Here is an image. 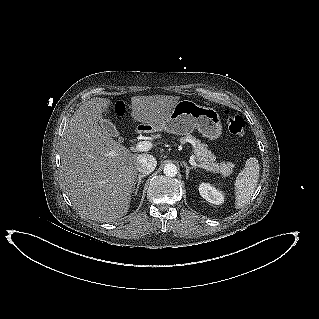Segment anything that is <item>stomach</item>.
<instances>
[{
	"instance_id": "stomach-1",
	"label": "stomach",
	"mask_w": 319,
	"mask_h": 319,
	"mask_svg": "<svg viewBox=\"0 0 319 319\" xmlns=\"http://www.w3.org/2000/svg\"><path fill=\"white\" fill-rule=\"evenodd\" d=\"M152 128L175 135H188L197 129L203 137L210 140H215L222 134V124L218 112L190 100L177 102L167 119L153 125Z\"/></svg>"
}]
</instances>
